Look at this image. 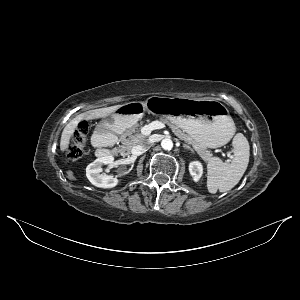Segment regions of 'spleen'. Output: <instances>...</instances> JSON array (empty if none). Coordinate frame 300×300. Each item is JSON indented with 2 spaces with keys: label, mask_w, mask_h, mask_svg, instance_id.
<instances>
[{
  "label": "spleen",
  "mask_w": 300,
  "mask_h": 300,
  "mask_svg": "<svg viewBox=\"0 0 300 300\" xmlns=\"http://www.w3.org/2000/svg\"><path fill=\"white\" fill-rule=\"evenodd\" d=\"M234 158L231 163L223 162L218 157H212L207 164V189L215 194L218 190L226 192L238 184L247 169L250 146L242 133L233 138Z\"/></svg>",
  "instance_id": "3e777b00"
}]
</instances>
